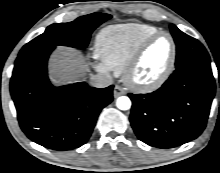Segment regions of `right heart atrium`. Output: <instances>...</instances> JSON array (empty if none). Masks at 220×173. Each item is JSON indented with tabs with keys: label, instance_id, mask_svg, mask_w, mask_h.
I'll return each mask as SVG.
<instances>
[{
	"label": "right heart atrium",
	"instance_id": "right-heart-atrium-1",
	"mask_svg": "<svg viewBox=\"0 0 220 173\" xmlns=\"http://www.w3.org/2000/svg\"><path fill=\"white\" fill-rule=\"evenodd\" d=\"M95 68L98 71L103 72V73H108L109 72V69L102 63L95 64Z\"/></svg>",
	"mask_w": 220,
	"mask_h": 173
}]
</instances>
